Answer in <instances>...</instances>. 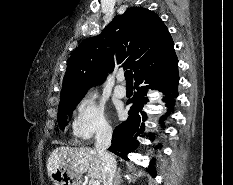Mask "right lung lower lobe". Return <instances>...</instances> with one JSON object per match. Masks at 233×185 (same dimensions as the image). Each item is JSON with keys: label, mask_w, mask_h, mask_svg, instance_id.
<instances>
[{"label": "right lung lower lobe", "mask_w": 233, "mask_h": 185, "mask_svg": "<svg viewBox=\"0 0 233 185\" xmlns=\"http://www.w3.org/2000/svg\"><path fill=\"white\" fill-rule=\"evenodd\" d=\"M134 79L137 92L127 102V104L132 103L128 112L129 117L115 128L112 145L109 148V151L119 155L123 159H127V154L137 147L139 142L136 140V137L144 131V121L147 117L142 108L148 102V98L146 97L148 90H158L167 96L163 100L169 109L164 117H167L174 111L175 98L178 96V60L175 58L167 64L146 70L138 74ZM147 171L153 177L156 176L153 162L147 168Z\"/></svg>", "instance_id": "1"}]
</instances>
